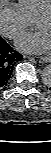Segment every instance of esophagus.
I'll return each mask as SVG.
<instances>
[{
    "label": "esophagus",
    "mask_w": 51,
    "mask_h": 153,
    "mask_svg": "<svg viewBox=\"0 0 51 153\" xmlns=\"http://www.w3.org/2000/svg\"><path fill=\"white\" fill-rule=\"evenodd\" d=\"M39 62L40 63H49V62H51V57L50 56H42V57H40Z\"/></svg>",
    "instance_id": "obj_1"
}]
</instances>
